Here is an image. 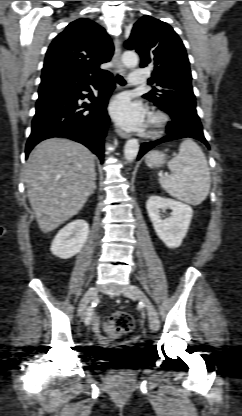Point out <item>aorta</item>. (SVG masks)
Segmentation results:
<instances>
[{
  "label": "aorta",
  "mask_w": 242,
  "mask_h": 416,
  "mask_svg": "<svg viewBox=\"0 0 242 416\" xmlns=\"http://www.w3.org/2000/svg\"><path fill=\"white\" fill-rule=\"evenodd\" d=\"M122 62L127 68H134L139 62L138 55L134 51H126L122 55ZM139 143L137 139H130L124 146V157L127 162H132L138 155Z\"/></svg>",
  "instance_id": "762f6f07"
}]
</instances>
